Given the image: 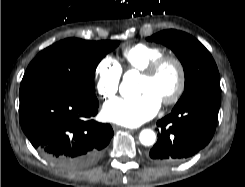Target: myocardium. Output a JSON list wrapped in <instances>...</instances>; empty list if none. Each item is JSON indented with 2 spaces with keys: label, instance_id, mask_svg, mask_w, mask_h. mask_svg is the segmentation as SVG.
Instances as JSON below:
<instances>
[{
  "label": "myocardium",
  "instance_id": "1",
  "mask_svg": "<svg viewBox=\"0 0 245 187\" xmlns=\"http://www.w3.org/2000/svg\"><path fill=\"white\" fill-rule=\"evenodd\" d=\"M172 63L178 72V82L174 92L161 103L165 106L174 105L182 97L186 87V71L183 62L173 54H163L152 60L143 70L142 76L147 78L154 77L163 65Z\"/></svg>",
  "mask_w": 245,
  "mask_h": 187
}]
</instances>
